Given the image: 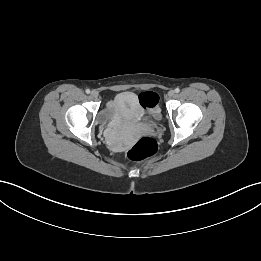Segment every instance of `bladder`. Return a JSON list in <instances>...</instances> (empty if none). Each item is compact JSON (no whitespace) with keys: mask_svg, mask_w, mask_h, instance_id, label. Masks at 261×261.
<instances>
[{"mask_svg":"<svg viewBox=\"0 0 261 261\" xmlns=\"http://www.w3.org/2000/svg\"><path fill=\"white\" fill-rule=\"evenodd\" d=\"M141 105L140 98L134 92L123 91L111 100L109 114L118 125L153 124L159 119L158 113L144 116Z\"/></svg>","mask_w":261,"mask_h":261,"instance_id":"1","label":"bladder"}]
</instances>
